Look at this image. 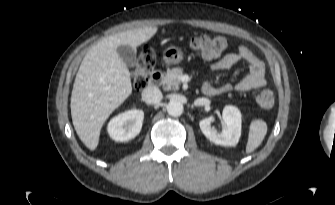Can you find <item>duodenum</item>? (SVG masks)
Wrapping results in <instances>:
<instances>
[{"mask_svg":"<svg viewBox=\"0 0 335 205\" xmlns=\"http://www.w3.org/2000/svg\"><path fill=\"white\" fill-rule=\"evenodd\" d=\"M163 73L161 70H155L150 76V84L152 86H158L161 83ZM204 95H215L217 91L210 86H203L201 89Z\"/></svg>","mask_w":335,"mask_h":205,"instance_id":"410a0bca","label":"duodenum"}]
</instances>
